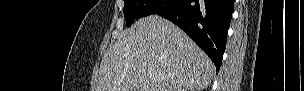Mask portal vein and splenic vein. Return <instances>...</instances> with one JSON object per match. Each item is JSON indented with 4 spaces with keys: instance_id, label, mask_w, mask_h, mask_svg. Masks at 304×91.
<instances>
[{
    "instance_id": "portal-vein-and-splenic-vein-1",
    "label": "portal vein and splenic vein",
    "mask_w": 304,
    "mask_h": 91,
    "mask_svg": "<svg viewBox=\"0 0 304 91\" xmlns=\"http://www.w3.org/2000/svg\"><path fill=\"white\" fill-rule=\"evenodd\" d=\"M147 74L151 75V71H150V70H147Z\"/></svg>"
}]
</instances>
